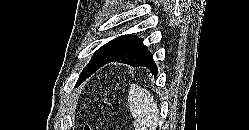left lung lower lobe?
<instances>
[{
    "label": "left lung lower lobe",
    "mask_w": 249,
    "mask_h": 130,
    "mask_svg": "<svg viewBox=\"0 0 249 130\" xmlns=\"http://www.w3.org/2000/svg\"><path fill=\"white\" fill-rule=\"evenodd\" d=\"M110 62H120L132 67L145 66L154 75L157 73V66L153 60L152 54L139 38L132 40L117 56L108 60L102 66Z\"/></svg>",
    "instance_id": "obj_1"
}]
</instances>
